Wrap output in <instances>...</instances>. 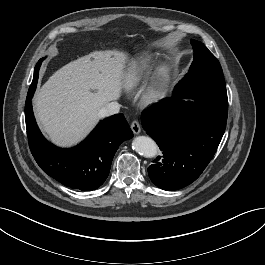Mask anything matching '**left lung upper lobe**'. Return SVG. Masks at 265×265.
<instances>
[{"mask_svg":"<svg viewBox=\"0 0 265 265\" xmlns=\"http://www.w3.org/2000/svg\"><path fill=\"white\" fill-rule=\"evenodd\" d=\"M191 45L194 60L188 73L175 86L174 93L182 98L194 99L227 116V91L220 63L203 43L191 40Z\"/></svg>","mask_w":265,"mask_h":265,"instance_id":"left-lung-upper-lobe-1","label":"left lung upper lobe"}]
</instances>
